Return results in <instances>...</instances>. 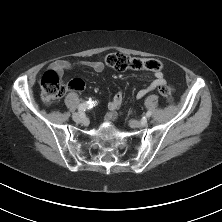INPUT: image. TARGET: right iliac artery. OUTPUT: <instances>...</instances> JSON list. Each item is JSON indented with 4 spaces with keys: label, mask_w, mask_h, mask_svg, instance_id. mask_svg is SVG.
<instances>
[{
    "label": "right iliac artery",
    "mask_w": 222,
    "mask_h": 222,
    "mask_svg": "<svg viewBox=\"0 0 222 222\" xmlns=\"http://www.w3.org/2000/svg\"><path fill=\"white\" fill-rule=\"evenodd\" d=\"M97 104V101H92V100H89L85 103H82L78 106V111L79 112H83L87 109H91L93 106H95Z\"/></svg>",
    "instance_id": "right-iliac-artery-1"
}]
</instances>
